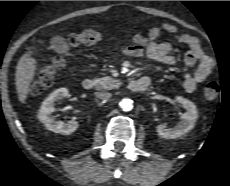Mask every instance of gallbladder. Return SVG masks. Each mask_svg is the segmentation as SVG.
I'll list each match as a JSON object with an SVG mask.
<instances>
[{
	"label": "gallbladder",
	"instance_id": "obj_1",
	"mask_svg": "<svg viewBox=\"0 0 230 186\" xmlns=\"http://www.w3.org/2000/svg\"><path fill=\"white\" fill-rule=\"evenodd\" d=\"M63 39L60 37H56L51 41V49L58 53H65V48L63 45Z\"/></svg>",
	"mask_w": 230,
	"mask_h": 186
}]
</instances>
